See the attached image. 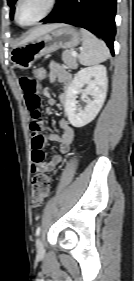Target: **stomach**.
Listing matches in <instances>:
<instances>
[{
  "label": "stomach",
  "mask_w": 134,
  "mask_h": 281,
  "mask_svg": "<svg viewBox=\"0 0 134 281\" xmlns=\"http://www.w3.org/2000/svg\"><path fill=\"white\" fill-rule=\"evenodd\" d=\"M81 40L80 31L70 25L58 24V27L34 40L14 47L10 53V60L15 67L26 70L43 55L52 53L59 48H73Z\"/></svg>",
  "instance_id": "1"
}]
</instances>
